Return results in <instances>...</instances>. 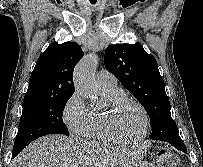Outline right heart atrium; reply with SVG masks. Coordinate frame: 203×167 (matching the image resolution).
I'll list each match as a JSON object with an SVG mask.
<instances>
[{"mask_svg":"<svg viewBox=\"0 0 203 167\" xmlns=\"http://www.w3.org/2000/svg\"><path fill=\"white\" fill-rule=\"evenodd\" d=\"M89 118V109L78 92L67 99L62 111V120L68 130L81 135Z\"/></svg>","mask_w":203,"mask_h":167,"instance_id":"1","label":"right heart atrium"}]
</instances>
